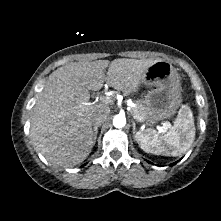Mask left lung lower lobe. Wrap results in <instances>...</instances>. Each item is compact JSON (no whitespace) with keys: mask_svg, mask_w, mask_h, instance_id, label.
<instances>
[{"mask_svg":"<svg viewBox=\"0 0 221 221\" xmlns=\"http://www.w3.org/2000/svg\"><path fill=\"white\" fill-rule=\"evenodd\" d=\"M177 162H175V163H172L171 165H174V164H176Z\"/></svg>","mask_w":221,"mask_h":221,"instance_id":"0a47b994","label":"left lung lower lobe"}]
</instances>
